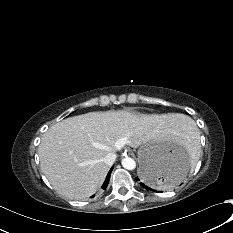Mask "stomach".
<instances>
[{
	"instance_id": "obj_1",
	"label": "stomach",
	"mask_w": 233,
	"mask_h": 233,
	"mask_svg": "<svg viewBox=\"0 0 233 233\" xmlns=\"http://www.w3.org/2000/svg\"><path fill=\"white\" fill-rule=\"evenodd\" d=\"M138 157L141 178L154 187L172 185L180 176L185 177L189 168L185 154L180 153L168 141L142 143L138 149Z\"/></svg>"
}]
</instances>
